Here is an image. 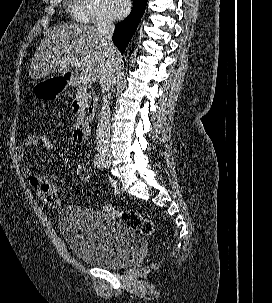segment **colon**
Returning <instances> with one entry per match:
<instances>
[{
    "label": "colon",
    "mask_w": 272,
    "mask_h": 303,
    "mask_svg": "<svg viewBox=\"0 0 272 303\" xmlns=\"http://www.w3.org/2000/svg\"><path fill=\"white\" fill-rule=\"evenodd\" d=\"M35 146L44 152H50L54 148V140L47 133H39L36 135ZM76 170L80 180L83 183H88L90 173L85 163L78 162ZM42 200L44 204L51 209H55L60 206V195L55 191L42 196ZM102 208L106 213L116 216L122 223L143 234H151L155 229V225L152 220L134 211L118 210L108 206H102Z\"/></svg>",
    "instance_id": "obj_1"
}]
</instances>
